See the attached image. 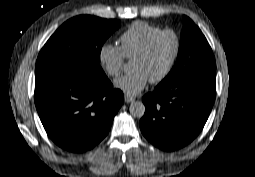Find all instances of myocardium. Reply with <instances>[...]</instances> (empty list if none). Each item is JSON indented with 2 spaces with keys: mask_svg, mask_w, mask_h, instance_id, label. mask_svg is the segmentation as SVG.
<instances>
[{
  "mask_svg": "<svg viewBox=\"0 0 255 177\" xmlns=\"http://www.w3.org/2000/svg\"><path fill=\"white\" fill-rule=\"evenodd\" d=\"M172 35L174 40H175V49L174 52L166 66V68L163 70V72L157 76L156 78L153 79H149L150 83L156 84V83H160L162 82L164 79L167 78V76L170 74V72L172 71L179 55L181 52V39L180 36L172 29H164V30H160L159 32L155 33L154 35H152L147 42L145 43V45L143 46V48L134 56L133 59H137V58H143L145 56H147V54L149 53L150 49L152 48L153 44L155 43V41L161 37L162 35Z\"/></svg>",
  "mask_w": 255,
  "mask_h": 177,
  "instance_id": "f54148a6",
  "label": "myocardium"
}]
</instances>
